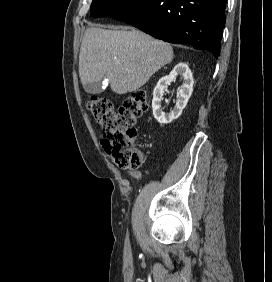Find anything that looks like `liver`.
Instances as JSON below:
<instances>
[{"label":"liver","instance_id":"1","mask_svg":"<svg viewBox=\"0 0 272 282\" xmlns=\"http://www.w3.org/2000/svg\"><path fill=\"white\" fill-rule=\"evenodd\" d=\"M173 48L139 30L86 29L79 54L82 85L107 77L111 90L126 94L142 87L173 60Z\"/></svg>","mask_w":272,"mask_h":282}]
</instances>
